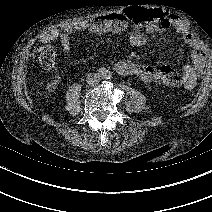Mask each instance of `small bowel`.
I'll return each instance as SVG.
<instances>
[{
  "label": "small bowel",
  "instance_id": "small-bowel-1",
  "mask_svg": "<svg viewBox=\"0 0 212 212\" xmlns=\"http://www.w3.org/2000/svg\"><path fill=\"white\" fill-rule=\"evenodd\" d=\"M131 20L136 28H139L142 22H151L160 28H168L171 25H175L179 28L184 26V23L180 19H174L168 17L161 10L156 8H144L140 6H131L123 11V13H114L102 17V24L105 31L112 33H119L125 28L124 20ZM86 23H73L63 24L52 28L40 38L41 42H50L60 39L62 50L65 54L71 52V41L70 38L65 34L72 32L81 27H86ZM97 28V26H93ZM189 43L191 41L189 40ZM192 61L195 63L200 62V54L196 51L189 53ZM118 69L125 75L137 74L145 80H149L153 76V69L149 66L137 67L129 61H124L118 65ZM194 68L190 64H185L181 68V81L185 85L194 83Z\"/></svg>",
  "mask_w": 212,
  "mask_h": 212
}]
</instances>
